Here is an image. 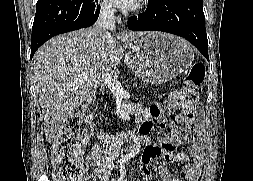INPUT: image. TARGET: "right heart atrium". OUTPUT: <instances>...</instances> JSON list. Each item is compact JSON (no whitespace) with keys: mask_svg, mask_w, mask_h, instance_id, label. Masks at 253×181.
Wrapping results in <instances>:
<instances>
[{"mask_svg":"<svg viewBox=\"0 0 253 181\" xmlns=\"http://www.w3.org/2000/svg\"><path fill=\"white\" fill-rule=\"evenodd\" d=\"M101 8L106 13L114 12V7L111 0H102Z\"/></svg>","mask_w":253,"mask_h":181,"instance_id":"obj_1","label":"right heart atrium"}]
</instances>
